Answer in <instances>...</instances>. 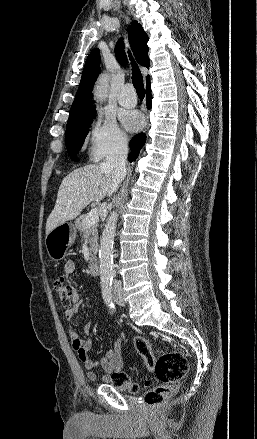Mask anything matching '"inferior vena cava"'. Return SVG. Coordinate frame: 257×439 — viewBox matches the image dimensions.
Here are the masks:
<instances>
[{
	"instance_id": "obj_1",
	"label": "inferior vena cava",
	"mask_w": 257,
	"mask_h": 439,
	"mask_svg": "<svg viewBox=\"0 0 257 439\" xmlns=\"http://www.w3.org/2000/svg\"><path fill=\"white\" fill-rule=\"evenodd\" d=\"M128 154V141L126 138L117 139L109 148L104 165L110 167L113 170V186L109 195H111L116 189L122 178L126 173V159ZM114 288H121V282L115 280L113 282Z\"/></svg>"
}]
</instances>
